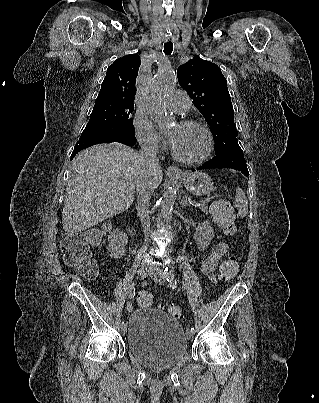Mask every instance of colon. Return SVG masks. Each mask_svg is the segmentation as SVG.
Here are the masks:
<instances>
[{
  "mask_svg": "<svg viewBox=\"0 0 319 403\" xmlns=\"http://www.w3.org/2000/svg\"><path fill=\"white\" fill-rule=\"evenodd\" d=\"M212 214L216 222L222 227L225 234L234 237L237 230L234 225V213L225 200H218L212 207ZM102 237L100 230H84L67 234L61 242V251L66 265L73 267L85 278L94 279L98 275V266L90 254V245L99 243ZM239 258L232 256L221 265L223 279L232 278L238 268ZM137 304L141 308H148L152 304V295L141 291L137 295ZM173 317L183 320L184 315L177 305H161Z\"/></svg>",
  "mask_w": 319,
  "mask_h": 403,
  "instance_id": "5ec220e1",
  "label": "colon"
}]
</instances>
